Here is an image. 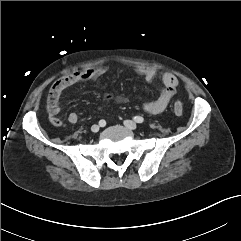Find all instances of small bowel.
<instances>
[{
    "instance_id": "c3829d8e",
    "label": "small bowel",
    "mask_w": 241,
    "mask_h": 241,
    "mask_svg": "<svg viewBox=\"0 0 241 241\" xmlns=\"http://www.w3.org/2000/svg\"><path fill=\"white\" fill-rule=\"evenodd\" d=\"M107 71L108 68L105 66L88 68L72 72L56 81L52 85L47 99V112L51 124L56 127L62 125V121L58 117L60 112L58 102L61 94L67 88L81 82L94 81L106 74ZM135 73L143 77L147 82H152L157 77L156 70L151 67H139L135 70ZM158 77L163 84L159 96L156 99L146 102L143 106L144 110L151 114H159L166 109L179 83L177 77L172 73H162ZM127 101L128 99L124 97H119L118 100H116L117 103H126ZM78 119V114L75 112H71L67 116L68 122L72 124L76 123Z\"/></svg>"
}]
</instances>
